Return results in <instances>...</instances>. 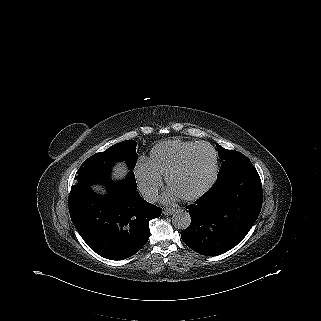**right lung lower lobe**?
<instances>
[{"instance_id": "right-lung-lower-lobe-1", "label": "right lung lower lobe", "mask_w": 321, "mask_h": 321, "mask_svg": "<svg viewBox=\"0 0 321 321\" xmlns=\"http://www.w3.org/2000/svg\"><path fill=\"white\" fill-rule=\"evenodd\" d=\"M69 211L86 244L98 255L122 260L137 253L150 236L149 221L162 209L141 198L136 190L108 189L100 196L89 187L71 190Z\"/></svg>"}]
</instances>
